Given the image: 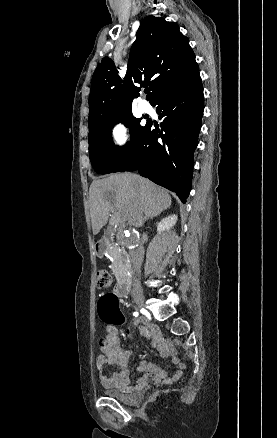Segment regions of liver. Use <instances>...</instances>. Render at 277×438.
Returning <instances> with one entry per match:
<instances>
[{
	"label": "liver",
	"mask_w": 277,
	"mask_h": 438,
	"mask_svg": "<svg viewBox=\"0 0 277 438\" xmlns=\"http://www.w3.org/2000/svg\"><path fill=\"white\" fill-rule=\"evenodd\" d=\"M89 196L94 236L106 226L110 212L122 226L139 228L143 216L155 218L172 204L166 190L137 174H114L105 180H94Z\"/></svg>",
	"instance_id": "liver-1"
}]
</instances>
